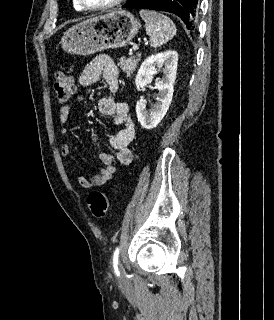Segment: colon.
Masks as SVG:
<instances>
[{
	"mask_svg": "<svg viewBox=\"0 0 274 320\" xmlns=\"http://www.w3.org/2000/svg\"><path fill=\"white\" fill-rule=\"evenodd\" d=\"M53 87L56 100L59 103H66L73 93L74 83L70 76L57 71L54 75ZM86 204L96 219H102L108 212L111 200L102 191L94 190L87 197Z\"/></svg>",
	"mask_w": 274,
	"mask_h": 320,
	"instance_id": "colon-1",
	"label": "colon"
}]
</instances>
